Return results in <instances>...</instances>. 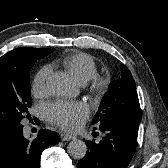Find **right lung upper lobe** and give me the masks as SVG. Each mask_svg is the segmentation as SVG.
Wrapping results in <instances>:
<instances>
[{
	"label": "right lung upper lobe",
	"mask_w": 168,
	"mask_h": 168,
	"mask_svg": "<svg viewBox=\"0 0 168 168\" xmlns=\"http://www.w3.org/2000/svg\"><path fill=\"white\" fill-rule=\"evenodd\" d=\"M47 49L44 48H17L2 57H0V77L10 72L18 63L22 55L29 52H41Z\"/></svg>",
	"instance_id": "right-lung-upper-lobe-1"
}]
</instances>
